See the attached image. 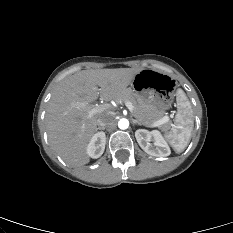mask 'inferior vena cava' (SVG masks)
Wrapping results in <instances>:
<instances>
[{
    "label": "inferior vena cava",
    "instance_id": "obj_1",
    "mask_svg": "<svg viewBox=\"0 0 233 233\" xmlns=\"http://www.w3.org/2000/svg\"><path fill=\"white\" fill-rule=\"evenodd\" d=\"M113 121V114H105L97 120V125L105 127L111 124Z\"/></svg>",
    "mask_w": 233,
    "mask_h": 233
}]
</instances>
